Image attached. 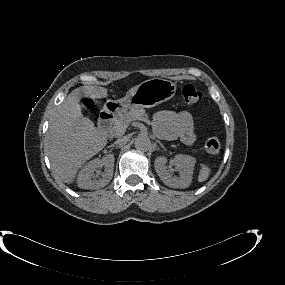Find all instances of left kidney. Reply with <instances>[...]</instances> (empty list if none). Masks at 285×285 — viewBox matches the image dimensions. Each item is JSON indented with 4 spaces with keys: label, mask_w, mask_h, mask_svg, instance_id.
Wrapping results in <instances>:
<instances>
[{
    "label": "left kidney",
    "mask_w": 285,
    "mask_h": 285,
    "mask_svg": "<svg viewBox=\"0 0 285 285\" xmlns=\"http://www.w3.org/2000/svg\"><path fill=\"white\" fill-rule=\"evenodd\" d=\"M167 159L165 157H158L155 160V170L160 179L167 186L172 188H187L192 182V174L196 159L192 156L178 154L174 157L175 168L179 172V177H173L166 169L165 164Z\"/></svg>",
    "instance_id": "obj_1"
}]
</instances>
